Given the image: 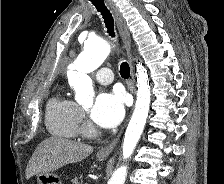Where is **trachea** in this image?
<instances>
[{
    "label": "trachea",
    "mask_w": 224,
    "mask_h": 184,
    "mask_svg": "<svg viewBox=\"0 0 224 184\" xmlns=\"http://www.w3.org/2000/svg\"><path fill=\"white\" fill-rule=\"evenodd\" d=\"M92 4L96 7L97 11L101 13L105 26L107 28V32L111 37L115 36L114 33V20L110 13V11L107 9V7L104 4L103 0H90ZM120 74L124 79L129 78L130 76V67L127 62H122L120 65Z\"/></svg>",
    "instance_id": "3493384b"
}]
</instances>
